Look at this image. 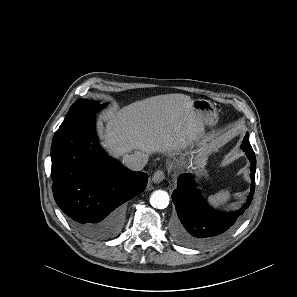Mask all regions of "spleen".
<instances>
[{"label": "spleen", "instance_id": "1", "mask_svg": "<svg viewBox=\"0 0 297 297\" xmlns=\"http://www.w3.org/2000/svg\"><path fill=\"white\" fill-rule=\"evenodd\" d=\"M231 199V191L229 189H223L214 195L209 196L210 202L215 206L225 205Z\"/></svg>", "mask_w": 297, "mask_h": 297}]
</instances>
